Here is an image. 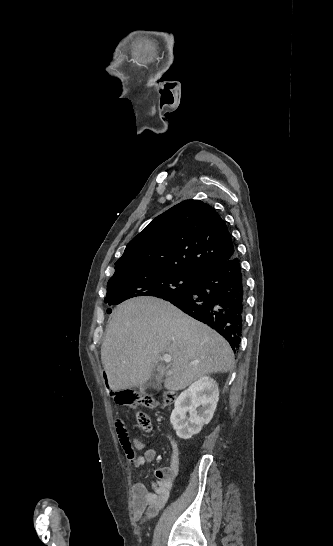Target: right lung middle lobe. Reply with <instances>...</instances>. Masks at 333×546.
<instances>
[{
    "instance_id": "obj_1",
    "label": "right lung middle lobe",
    "mask_w": 333,
    "mask_h": 546,
    "mask_svg": "<svg viewBox=\"0 0 333 546\" xmlns=\"http://www.w3.org/2000/svg\"><path fill=\"white\" fill-rule=\"evenodd\" d=\"M198 276L165 271H145L138 267L116 269L107 284L105 302L117 305L137 296L164 298L191 290Z\"/></svg>"
}]
</instances>
